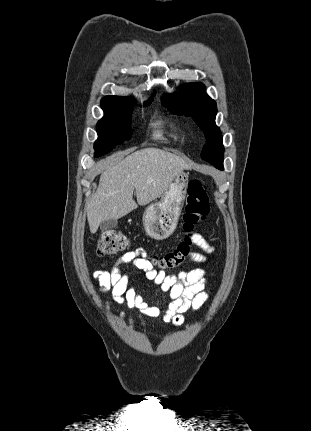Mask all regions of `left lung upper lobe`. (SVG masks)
Returning <instances> with one entry per match:
<instances>
[{
    "mask_svg": "<svg viewBox=\"0 0 311 431\" xmlns=\"http://www.w3.org/2000/svg\"><path fill=\"white\" fill-rule=\"evenodd\" d=\"M181 91L163 96L162 104L171 112L192 116L207 140L201 152L203 160L221 168L224 147L220 129L215 124L216 102L205 93L202 83L185 84Z\"/></svg>",
    "mask_w": 311,
    "mask_h": 431,
    "instance_id": "left-lung-upper-lobe-1",
    "label": "left lung upper lobe"
}]
</instances>
